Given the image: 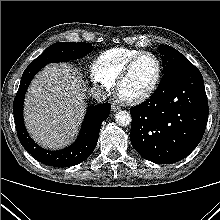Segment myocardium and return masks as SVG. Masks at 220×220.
I'll return each instance as SVG.
<instances>
[{"label":"myocardium","mask_w":220,"mask_h":220,"mask_svg":"<svg viewBox=\"0 0 220 220\" xmlns=\"http://www.w3.org/2000/svg\"><path fill=\"white\" fill-rule=\"evenodd\" d=\"M143 56H150L155 60L156 65H157V72H156L155 79H154L152 85L150 86V88L146 92H144L143 94H141L137 97H133V98H124L120 95V86H121L122 82L125 80V78L128 76V74L130 73L134 64ZM161 77H162V63H161L160 58L152 52L141 51L138 54L134 55L125 64L123 69L118 74V76L114 82L115 91L122 101H124L128 104H139V103L144 102L145 100H147L148 98H150L154 94V92L156 91V89L161 81Z\"/></svg>","instance_id":"1"}]
</instances>
